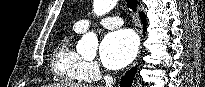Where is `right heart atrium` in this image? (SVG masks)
<instances>
[{
    "instance_id": "d8ad5b80",
    "label": "right heart atrium",
    "mask_w": 205,
    "mask_h": 87,
    "mask_svg": "<svg viewBox=\"0 0 205 87\" xmlns=\"http://www.w3.org/2000/svg\"><path fill=\"white\" fill-rule=\"evenodd\" d=\"M83 73L89 79L97 78L101 71L98 64L94 61H85L83 66Z\"/></svg>"
}]
</instances>
